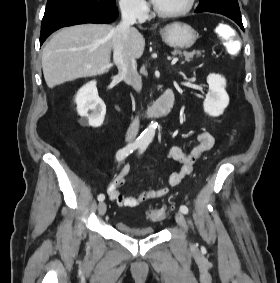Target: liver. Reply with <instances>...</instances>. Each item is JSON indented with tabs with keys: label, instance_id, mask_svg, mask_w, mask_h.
I'll return each instance as SVG.
<instances>
[{
	"label": "liver",
	"instance_id": "1",
	"mask_svg": "<svg viewBox=\"0 0 280 283\" xmlns=\"http://www.w3.org/2000/svg\"><path fill=\"white\" fill-rule=\"evenodd\" d=\"M113 34L114 28L106 24L76 25L57 32L42 53L48 87L108 72L112 67ZM128 44L135 59H139L145 49V39L137 29H130Z\"/></svg>",
	"mask_w": 280,
	"mask_h": 283
}]
</instances>
